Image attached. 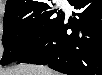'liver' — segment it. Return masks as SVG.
I'll return each instance as SVG.
<instances>
[{"label": "liver", "mask_w": 102, "mask_h": 75, "mask_svg": "<svg viewBox=\"0 0 102 75\" xmlns=\"http://www.w3.org/2000/svg\"><path fill=\"white\" fill-rule=\"evenodd\" d=\"M1 75H59L47 66L21 64L0 72Z\"/></svg>", "instance_id": "liver-1"}]
</instances>
